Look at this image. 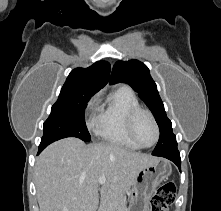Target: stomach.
<instances>
[{"instance_id":"obj_1","label":"stomach","mask_w":221,"mask_h":211,"mask_svg":"<svg viewBox=\"0 0 221 211\" xmlns=\"http://www.w3.org/2000/svg\"><path fill=\"white\" fill-rule=\"evenodd\" d=\"M171 173V165L164 159H156L155 162L142 167L130 189L128 211H148L151 195L163 180L168 179Z\"/></svg>"}]
</instances>
